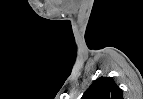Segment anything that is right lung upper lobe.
Masks as SVG:
<instances>
[{"label":"right lung upper lobe","instance_id":"1","mask_svg":"<svg viewBox=\"0 0 143 99\" xmlns=\"http://www.w3.org/2000/svg\"><path fill=\"white\" fill-rule=\"evenodd\" d=\"M81 99H123V94L112 77H100L89 86Z\"/></svg>","mask_w":143,"mask_h":99}]
</instances>
